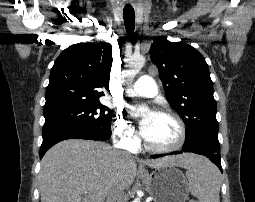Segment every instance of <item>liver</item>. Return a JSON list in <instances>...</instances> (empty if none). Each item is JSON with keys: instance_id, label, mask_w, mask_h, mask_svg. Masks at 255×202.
Returning <instances> with one entry per match:
<instances>
[{"instance_id": "1", "label": "liver", "mask_w": 255, "mask_h": 202, "mask_svg": "<svg viewBox=\"0 0 255 202\" xmlns=\"http://www.w3.org/2000/svg\"><path fill=\"white\" fill-rule=\"evenodd\" d=\"M193 154L139 160L100 141L69 139L46 152L41 160V202H104L113 189H129L136 176V162L151 168H189Z\"/></svg>"}]
</instances>
